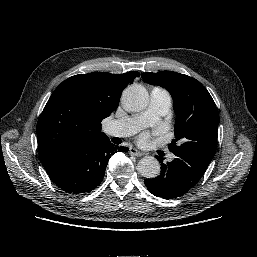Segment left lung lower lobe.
<instances>
[{"label": "left lung lower lobe", "mask_w": 257, "mask_h": 257, "mask_svg": "<svg viewBox=\"0 0 257 257\" xmlns=\"http://www.w3.org/2000/svg\"><path fill=\"white\" fill-rule=\"evenodd\" d=\"M176 158L161 165L160 176L145 179L148 190L157 197L173 199L185 194L203 176L211 160L188 151L173 152Z\"/></svg>", "instance_id": "obj_1"}]
</instances>
